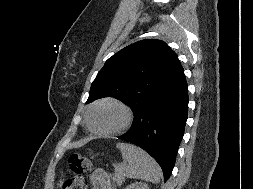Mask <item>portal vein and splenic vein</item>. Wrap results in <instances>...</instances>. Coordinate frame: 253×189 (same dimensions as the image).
<instances>
[{"label": "portal vein and splenic vein", "mask_w": 253, "mask_h": 189, "mask_svg": "<svg viewBox=\"0 0 253 189\" xmlns=\"http://www.w3.org/2000/svg\"><path fill=\"white\" fill-rule=\"evenodd\" d=\"M125 163L123 162L121 165H117L115 166V170H118L122 165H124Z\"/></svg>", "instance_id": "18ae733b"}]
</instances>
